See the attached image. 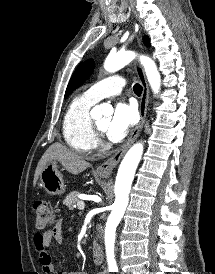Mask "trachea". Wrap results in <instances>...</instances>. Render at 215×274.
Segmentation results:
<instances>
[{
  "label": "trachea",
  "instance_id": "3493384b",
  "mask_svg": "<svg viewBox=\"0 0 215 274\" xmlns=\"http://www.w3.org/2000/svg\"><path fill=\"white\" fill-rule=\"evenodd\" d=\"M133 89H134L135 94L138 96L141 95L142 90H143L142 86L138 83L134 85Z\"/></svg>",
  "mask_w": 215,
  "mask_h": 274
}]
</instances>
